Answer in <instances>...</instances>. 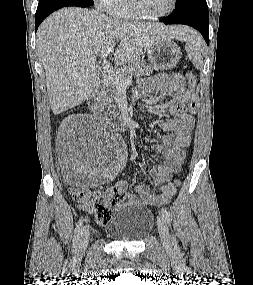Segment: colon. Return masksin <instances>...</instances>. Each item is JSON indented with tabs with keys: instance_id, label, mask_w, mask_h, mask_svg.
<instances>
[{
	"instance_id": "obj_1",
	"label": "colon",
	"mask_w": 253,
	"mask_h": 285,
	"mask_svg": "<svg viewBox=\"0 0 253 285\" xmlns=\"http://www.w3.org/2000/svg\"><path fill=\"white\" fill-rule=\"evenodd\" d=\"M189 92V111L194 114L197 109V97L195 93L197 79L191 72L185 73ZM70 179V176L64 175L63 179ZM175 183L169 184L167 188L171 189ZM74 201L84 210L92 213L97 222L105 224L112 219L116 206L125 198V192L116 188L105 190H89L72 187L70 189Z\"/></svg>"
}]
</instances>
